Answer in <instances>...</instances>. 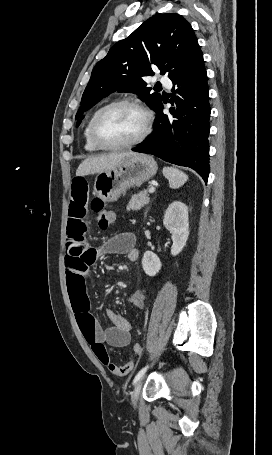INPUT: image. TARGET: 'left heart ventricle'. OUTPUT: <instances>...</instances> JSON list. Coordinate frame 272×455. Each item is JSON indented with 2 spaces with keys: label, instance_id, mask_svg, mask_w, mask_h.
<instances>
[{
  "label": "left heart ventricle",
  "instance_id": "obj_1",
  "mask_svg": "<svg viewBox=\"0 0 272 455\" xmlns=\"http://www.w3.org/2000/svg\"><path fill=\"white\" fill-rule=\"evenodd\" d=\"M143 116L134 107L115 106L105 111L96 126L97 135L106 144L116 145L135 139L143 129Z\"/></svg>",
  "mask_w": 272,
  "mask_h": 455
}]
</instances>
